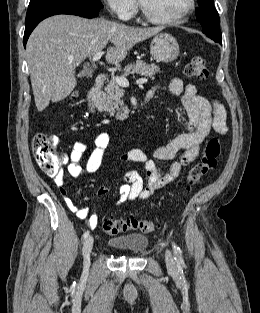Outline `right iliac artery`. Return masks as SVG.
<instances>
[{"mask_svg": "<svg viewBox=\"0 0 260 313\" xmlns=\"http://www.w3.org/2000/svg\"><path fill=\"white\" fill-rule=\"evenodd\" d=\"M88 236H89V231H86V232L83 234V240H86Z\"/></svg>", "mask_w": 260, "mask_h": 313, "instance_id": "obj_1", "label": "right iliac artery"}]
</instances>
